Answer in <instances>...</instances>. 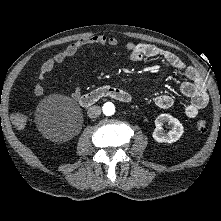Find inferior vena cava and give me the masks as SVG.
I'll return each mask as SVG.
<instances>
[{
  "label": "inferior vena cava",
  "mask_w": 221,
  "mask_h": 221,
  "mask_svg": "<svg viewBox=\"0 0 221 221\" xmlns=\"http://www.w3.org/2000/svg\"><path fill=\"white\" fill-rule=\"evenodd\" d=\"M100 114H101V107L96 105L91 106L87 111V115L89 118H96Z\"/></svg>",
  "instance_id": "inferior-vena-cava-1"
}]
</instances>
